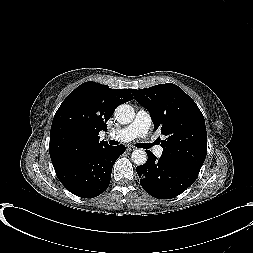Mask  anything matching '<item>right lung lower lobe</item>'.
I'll return each instance as SVG.
<instances>
[{
    "instance_id": "obj_1",
    "label": "right lung lower lobe",
    "mask_w": 253,
    "mask_h": 253,
    "mask_svg": "<svg viewBox=\"0 0 253 253\" xmlns=\"http://www.w3.org/2000/svg\"><path fill=\"white\" fill-rule=\"evenodd\" d=\"M124 151V145H108L74 163L56 168L55 172L68 191L82 198H93L109 186L112 167Z\"/></svg>"
}]
</instances>
